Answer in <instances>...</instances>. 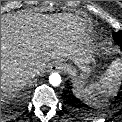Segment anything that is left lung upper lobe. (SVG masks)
<instances>
[{
  "label": "left lung upper lobe",
  "mask_w": 122,
  "mask_h": 122,
  "mask_svg": "<svg viewBox=\"0 0 122 122\" xmlns=\"http://www.w3.org/2000/svg\"><path fill=\"white\" fill-rule=\"evenodd\" d=\"M113 38L117 44L122 46V31L114 32Z\"/></svg>",
  "instance_id": "obj_1"
}]
</instances>
